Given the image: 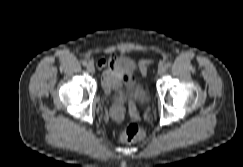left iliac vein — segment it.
Segmentation results:
<instances>
[{
	"mask_svg": "<svg viewBox=\"0 0 243 167\" xmlns=\"http://www.w3.org/2000/svg\"><path fill=\"white\" fill-rule=\"evenodd\" d=\"M166 72V67L164 65H159L158 67V74L162 75Z\"/></svg>",
	"mask_w": 243,
	"mask_h": 167,
	"instance_id": "1",
	"label": "left iliac vein"
}]
</instances>
